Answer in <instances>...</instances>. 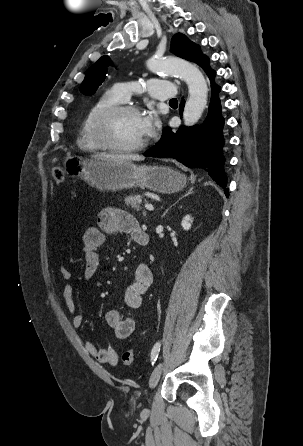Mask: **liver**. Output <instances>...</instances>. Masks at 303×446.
I'll list each match as a JSON object with an SVG mask.
<instances>
[{"instance_id": "6515ba94", "label": "liver", "mask_w": 303, "mask_h": 446, "mask_svg": "<svg viewBox=\"0 0 303 446\" xmlns=\"http://www.w3.org/2000/svg\"><path fill=\"white\" fill-rule=\"evenodd\" d=\"M96 158L109 161H142L144 157L140 155H108L105 153L95 155Z\"/></svg>"}]
</instances>
